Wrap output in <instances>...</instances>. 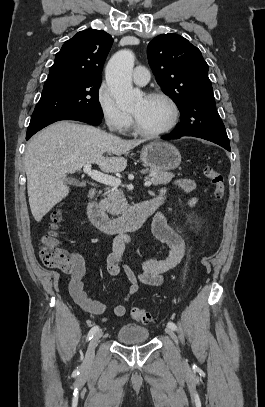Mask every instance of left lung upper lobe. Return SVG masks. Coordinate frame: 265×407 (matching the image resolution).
<instances>
[{
	"instance_id": "1",
	"label": "left lung upper lobe",
	"mask_w": 265,
	"mask_h": 407,
	"mask_svg": "<svg viewBox=\"0 0 265 407\" xmlns=\"http://www.w3.org/2000/svg\"><path fill=\"white\" fill-rule=\"evenodd\" d=\"M147 56L158 84L180 110L181 122L173 134L229 144L200 50L182 36L169 33L148 44Z\"/></svg>"
}]
</instances>
